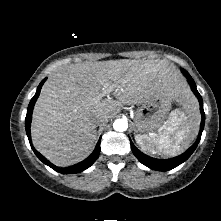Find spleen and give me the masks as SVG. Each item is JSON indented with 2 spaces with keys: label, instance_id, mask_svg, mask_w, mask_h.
<instances>
[{
  "label": "spleen",
  "instance_id": "spleen-1",
  "mask_svg": "<svg viewBox=\"0 0 221 221\" xmlns=\"http://www.w3.org/2000/svg\"><path fill=\"white\" fill-rule=\"evenodd\" d=\"M197 115L189 106L175 109L158 134L135 135L136 143L151 154L175 156L187 149L195 137Z\"/></svg>",
  "mask_w": 221,
  "mask_h": 221
}]
</instances>
